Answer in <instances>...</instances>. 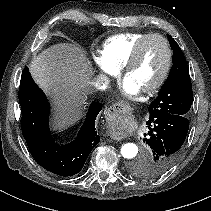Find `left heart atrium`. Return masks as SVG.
<instances>
[{
  "mask_svg": "<svg viewBox=\"0 0 211 211\" xmlns=\"http://www.w3.org/2000/svg\"><path fill=\"white\" fill-rule=\"evenodd\" d=\"M140 92L139 88L128 78L123 83V93L127 96H135Z\"/></svg>",
  "mask_w": 211,
  "mask_h": 211,
  "instance_id": "left-heart-atrium-1",
  "label": "left heart atrium"
}]
</instances>
